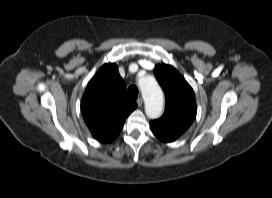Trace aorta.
I'll list each match as a JSON object with an SVG mask.
<instances>
[{
	"label": "aorta",
	"mask_w": 272,
	"mask_h": 198,
	"mask_svg": "<svg viewBox=\"0 0 272 198\" xmlns=\"http://www.w3.org/2000/svg\"><path fill=\"white\" fill-rule=\"evenodd\" d=\"M145 102V113L148 118L156 119L163 111V92L153 77H145L139 81Z\"/></svg>",
	"instance_id": "1"
}]
</instances>
